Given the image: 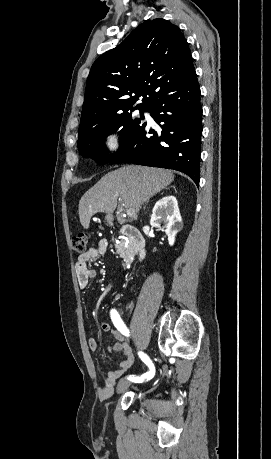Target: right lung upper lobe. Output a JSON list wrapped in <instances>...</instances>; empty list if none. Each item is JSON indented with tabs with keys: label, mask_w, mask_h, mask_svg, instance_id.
I'll return each mask as SVG.
<instances>
[{
	"label": "right lung upper lobe",
	"mask_w": 271,
	"mask_h": 459,
	"mask_svg": "<svg viewBox=\"0 0 271 459\" xmlns=\"http://www.w3.org/2000/svg\"><path fill=\"white\" fill-rule=\"evenodd\" d=\"M194 73L181 30L165 19L145 21L93 63L81 122L126 112L139 97L144 102L137 107L147 106L165 89Z\"/></svg>",
	"instance_id": "right-lung-upper-lobe-1"
}]
</instances>
